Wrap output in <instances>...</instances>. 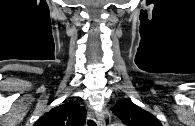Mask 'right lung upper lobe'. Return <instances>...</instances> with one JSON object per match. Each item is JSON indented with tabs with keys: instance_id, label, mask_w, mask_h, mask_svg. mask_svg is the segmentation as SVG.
<instances>
[{
	"instance_id": "right-lung-upper-lobe-1",
	"label": "right lung upper lobe",
	"mask_w": 195,
	"mask_h": 126,
	"mask_svg": "<svg viewBox=\"0 0 195 126\" xmlns=\"http://www.w3.org/2000/svg\"><path fill=\"white\" fill-rule=\"evenodd\" d=\"M86 110L77 102H68L46 112L34 126H83Z\"/></svg>"
}]
</instances>
